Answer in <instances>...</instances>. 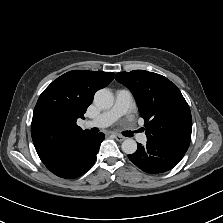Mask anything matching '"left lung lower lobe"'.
I'll list each match as a JSON object with an SVG mask.
<instances>
[{
  "instance_id": "obj_1",
  "label": "left lung lower lobe",
  "mask_w": 223,
  "mask_h": 223,
  "mask_svg": "<svg viewBox=\"0 0 223 223\" xmlns=\"http://www.w3.org/2000/svg\"><path fill=\"white\" fill-rule=\"evenodd\" d=\"M184 154L147 141L146 146L138 144L137 151L128 157L137 167L147 173H162L176 166Z\"/></svg>"
}]
</instances>
